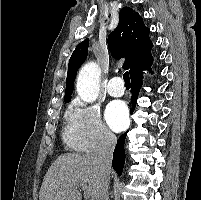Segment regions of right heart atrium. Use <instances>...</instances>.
<instances>
[{"label": "right heart atrium", "mask_w": 201, "mask_h": 200, "mask_svg": "<svg viewBox=\"0 0 201 200\" xmlns=\"http://www.w3.org/2000/svg\"><path fill=\"white\" fill-rule=\"evenodd\" d=\"M65 140L71 148L83 152L110 149L116 143L98 107L80 99L74 100L66 112Z\"/></svg>", "instance_id": "right-heart-atrium-1"}]
</instances>
